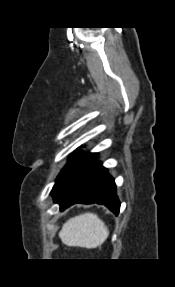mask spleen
Listing matches in <instances>:
<instances>
[{"instance_id":"1","label":"spleen","mask_w":175,"mask_h":287,"mask_svg":"<svg viewBox=\"0 0 175 287\" xmlns=\"http://www.w3.org/2000/svg\"><path fill=\"white\" fill-rule=\"evenodd\" d=\"M104 222L93 213H84L67 220L59 232V237L67 246L96 248L108 237Z\"/></svg>"}]
</instances>
